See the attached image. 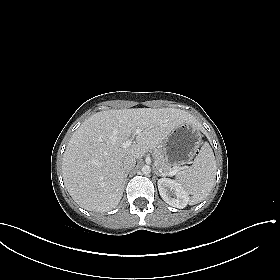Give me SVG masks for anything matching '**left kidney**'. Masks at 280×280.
<instances>
[{
	"instance_id": "5707ae66",
	"label": "left kidney",
	"mask_w": 280,
	"mask_h": 280,
	"mask_svg": "<svg viewBox=\"0 0 280 280\" xmlns=\"http://www.w3.org/2000/svg\"><path fill=\"white\" fill-rule=\"evenodd\" d=\"M158 190L162 199L173 207L181 209L188 204V193L175 180L169 178L159 179Z\"/></svg>"
}]
</instances>
